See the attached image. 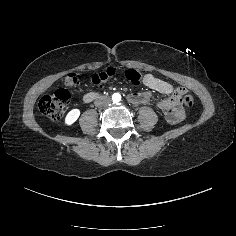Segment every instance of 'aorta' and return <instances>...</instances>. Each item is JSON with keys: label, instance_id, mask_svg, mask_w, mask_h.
Wrapping results in <instances>:
<instances>
[{"label": "aorta", "instance_id": "762f6f07", "mask_svg": "<svg viewBox=\"0 0 236 236\" xmlns=\"http://www.w3.org/2000/svg\"><path fill=\"white\" fill-rule=\"evenodd\" d=\"M112 100H113V102H115V103L119 102V101L121 100V95H120L119 93H114V94L112 95Z\"/></svg>", "mask_w": 236, "mask_h": 236}]
</instances>
